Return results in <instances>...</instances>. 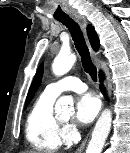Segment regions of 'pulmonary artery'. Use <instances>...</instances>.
<instances>
[{"mask_svg": "<svg viewBox=\"0 0 130 153\" xmlns=\"http://www.w3.org/2000/svg\"><path fill=\"white\" fill-rule=\"evenodd\" d=\"M87 85L74 76H67L59 81L49 84L45 91L53 96H58L65 91L84 92Z\"/></svg>", "mask_w": 130, "mask_h": 153, "instance_id": "1", "label": "pulmonary artery"}]
</instances>
